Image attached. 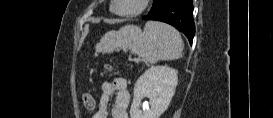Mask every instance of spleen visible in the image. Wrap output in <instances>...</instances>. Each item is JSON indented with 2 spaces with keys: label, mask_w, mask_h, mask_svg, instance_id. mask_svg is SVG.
I'll return each instance as SVG.
<instances>
[{
  "label": "spleen",
  "mask_w": 273,
  "mask_h": 118,
  "mask_svg": "<svg viewBox=\"0 0 273 118\" xmlns=\"http://www.w3.org/2000/svg\"><path fill=\"white\" fill-rule=\"evenodd\" d=\"M117 48L124 52L130 49L132 54L138 55L139 61L147 64L178 59L184 54V43L179 32L155 21H148L143 31L134 25L109 31L96 45V50L102 53H112Z\"/></svg>",
  "instance_id": "obj_1"
}]
</instances>
